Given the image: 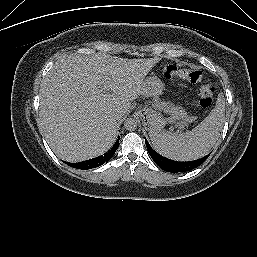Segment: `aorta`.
Here are the masks:
<instances>
[{"instance_id":"1","label":"aorta","mask_w":257,"mask_h":257,"mask_svg":"<svg viewBox=\"0 0 257 257\" xmlns=\"http://www.w3.org/2000/svg\"><path fill=\"white\" fill-rule=\"evenodd\" d=\"M137 126H138V122L134 118H127L124 121V127L128 131H134L135 129H137Z\"/></svg>"}]
</instances>
